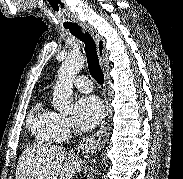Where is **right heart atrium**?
Masks as SVG:
<instances>
[{"label": "right heart atrium", "mask_w": 183, "mask_h": 179, "mask_svg": "<svg viewBox=\"0 0 183 179\" xmlns=\"http://www.w3.org/2000/svg\"><path fill=\"white\" fill-rule=\"evenodd\" d=\"M50 131L52 136L57 139L68 135L71 131V122L69 118L62 114L54 113L50 123Z\"/></svg>", "instance_id": "obj_1"}]
</instances>
